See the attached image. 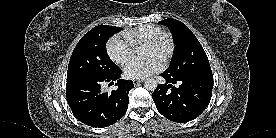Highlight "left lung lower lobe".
<instances>
[{
	"mask_svg": "<svg viewBox=\"0 0 276 138\" xmlns=\"http://www.w3.org/2000/svg\"><path fill=\"white\" fill-rule=\"evenodd\" d=\"M166 83L157 87L152 98L157 110L171 121L184 123L198 117L208 106L213 88V76L175 79L165 71ZM179 84L175 87L174 84Z\"/></svg>",
	"mask_w": 276,
	"mask_h": 138,
	"instance_id": "1",
	"label": "left lung lower lobe"
}]
</instances>
